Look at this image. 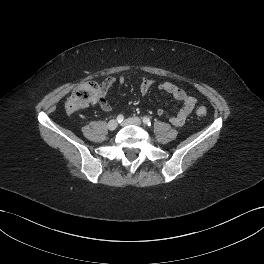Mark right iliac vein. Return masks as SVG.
Instances as JSON below:
<instances>
[{
    "label": "right iliac vein",
    "instance_id": "63e3f726",
    "mask_svg": "<svg viewBox=\"0 0 264 264\" xmlns=\"http://www.w3.org/2000/svg\"><path fill=\"white\" fill-rule=\"evenodd\" d=\"M107 127L109 130H115L118 127V122L116 120H110Z\"/></svg>",
    "mask_w": 264,
    "mask_h": 264
}]
</instances>
